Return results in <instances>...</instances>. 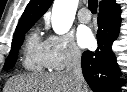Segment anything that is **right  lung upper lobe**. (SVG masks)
<instances>
[{
  "label": "right lung upper lobe",
  "instance_id": "right-lung-upper-lobe-1",
  "mask_svg": "<svg viewBox=\"0 0 127 92\" xmlns=\"http://www.w3.org/2000/svg\"><path fill=\"white\" fill-rule=\"evenodd\" d=\"M52 1L53 0H31L20 18L16 32L33 25L48 10ZM115 5H117L115 0H102L99 3V7H112Z\"/></svg>",
  "mask_w": 127,
  "mask_h": 92
}]
</instances>
